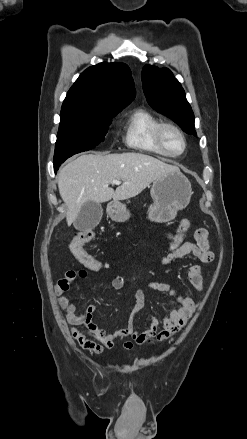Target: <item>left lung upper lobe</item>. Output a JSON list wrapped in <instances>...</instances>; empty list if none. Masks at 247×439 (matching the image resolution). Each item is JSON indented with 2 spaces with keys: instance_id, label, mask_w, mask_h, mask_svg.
<instances>
[{
  "instance_id": "left-lung-upper-lobe-1",
  "label": "left lung upper lobe",
  "mask_w": 247,
  "mask_h": 439,
  "mask_svg": "<svg viewBox=\"0 0 247 439\" xmlns=\"http://www.w3.org/2000/svg\"><path fill=\"white\" fill-rule=\"evenodd\" d=\"M142 83L153 109L171 118L184 132L196 135L193 111L181 84L169 69L146 65L142 70Z\"/></svg>"
}]
</instances>
